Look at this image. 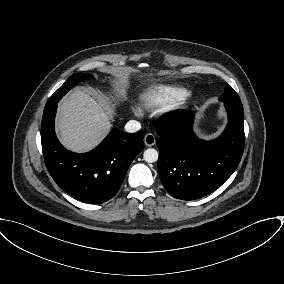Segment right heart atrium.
Masks as SVG:
<instances>
[{
	"label": "right heart atrium",
	"mask_w": 284,
	"mask_h": 284,
	"mask_svg": "<svg viewBox=\"0 0 284 284\" xmlns=\"http://www.w3.org/2000/svg\"><path fill=\"white\" fill-rule=\"evenodd\" d=\"M133 111L135 114H139V110L137 108H134Z\"/></svg>",
	"instance_id": "obj_1"
}]
</instances>
